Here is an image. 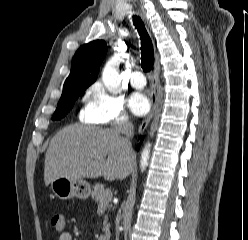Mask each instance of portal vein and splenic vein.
Here are the masks:
<instances>
[{
	"label": "portal vein and splenic vein",
	"mask_w": 248,
	"mask_h": 240,
	"mask_svg": "<svg viewBox=\"0 0 248 240\" xmlns=\"http://www.w3.org/2000/svg\"><path fill=\"white\" fill-rule=\"evenodd\" d=\"M108 194L112 195L111 194V191L109 189L106 190ZM101 207H103V204L100 205Z\"/></svg>",
	"instance_id": "portal-vein-and-splenic-vein-1"
}]
</instances>
